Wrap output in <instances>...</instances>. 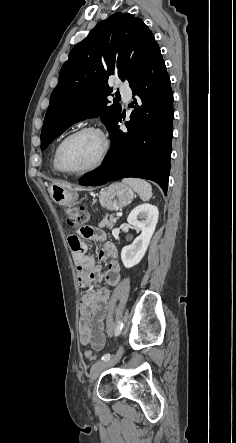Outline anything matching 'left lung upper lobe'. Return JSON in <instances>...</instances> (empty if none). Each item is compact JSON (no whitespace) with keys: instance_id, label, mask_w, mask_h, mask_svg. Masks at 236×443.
Listing matches in <instances>:
<instances>
[{"instance_id":"1","label":"left lung upper lobe","mask_w":236,"mask_h":443,"mask_svg":"<svg viewBox=\"0 0 236 443\" xmlns=\"http://www.w3.org/2000/svg\"><path fill=\"white\" fill-rule=\"evenodd\" d=\"M155 45L152 32L140 18L115 13L101 21L71 50L60 70L42 127L41 149L88 117L101 116L109 131L121 115L117 105L108 106L109 76L134 81Z\"/></svg>"}]
</instances>
